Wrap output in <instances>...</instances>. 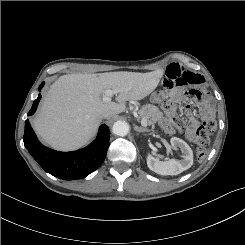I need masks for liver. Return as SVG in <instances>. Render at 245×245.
Instances as JSON below:
<instances>
[{
  "mask_svg": "<svg viewBox=\"0 0 245 245\" xmlns=\"http://www.w3.org/2000/svg\"><path fill=\"white\" fill-rule=\"evenodd\" d=\"M164 73L157 69L148 73L109 72L100 74H68L55 81L39 114L33 120L38 135L52 148L71 151L84 146L96 134L101 115L115 116L126 109L127 101L145 98L160 82ZM123 90L116 102L105 103V90Z\"/></svg>",
  "mask_w": 245,
  "mask_h": 245,
  "instance_id": "liver-1",
  "label": "liver"
}]
</instances>
